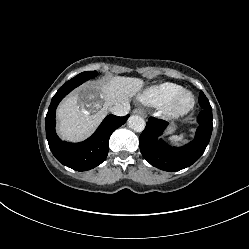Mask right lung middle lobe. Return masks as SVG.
<instances>
[{"label": "right lung middle lobe", "instance_id": "obj_1", "mask_svg": "<svg viewBox=\"0 0 249 249\" xmlns=\"http://www.w3.org/2000/svg\"><path fill=\"white\" fill-rule=\"evenodd\" d=\"M97 74L98 73L96 71H86V72H82V73L78 74L74 78L89 80L90 78L97 76Z\"/></svg>", "mask_w": 249, "mask_h": 249}]
</instances>
